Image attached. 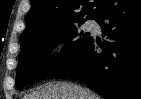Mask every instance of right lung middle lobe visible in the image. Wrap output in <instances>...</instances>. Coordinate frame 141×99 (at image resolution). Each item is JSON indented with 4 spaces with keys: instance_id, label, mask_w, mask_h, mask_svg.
Masks as SVG:
<instances>
[{
    "instance_id": "obj_1",
    "label": "right lung middle lobe",
    "mask_w": 141,
    "mask_h": 99,
    "mask_svg": "<svg viewBox=\"0 0 141 99\" xmlns=\"http://www.w3.org/2000/svg\"><path fill=\"white\" fill-rule=\"evenodd\" d=\"M82 34L83 32L79 34L77 26L73 25L21 45L16 87L22 89L35 79L55 76L68 66L92 38L88 34L78 38ZM58 42H65L66 44L56 60L55 57L49 56V52Z\"/></svg>"
}]
</instances>
